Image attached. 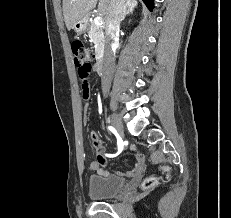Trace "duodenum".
I'll list each match as a JSON object with an SVG mask.
<instances>
[{"instance_id":"duodenum-1","label":"duodenum","mask_w":231,"mask_h":218,"mask_svg":"<svg viewBox=\"0 0 231 218\" xmlns=\"http://www.w3.org/2000/svg\"><path fill=\"white\" fill-rule=\"evenodd\" d=\"M95 65H96L95 68H96L97 73L99 75H104L105 74V62L101 55L98 57V60Z\"/></svg>"}]
</instances>
